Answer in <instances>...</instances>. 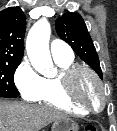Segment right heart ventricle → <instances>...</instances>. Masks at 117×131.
Listing matches in <instances>:
<instances>
[{
	"mask_svg": "<svg viewBox=\"0 0 117 131\" xmlns=\"http://www.w3.org/2000/svg\"><path fill=\"white\" fill-rule=\"evenodd\" d=\"M59 72L54 77L43 78L41 92L36 99L37 102L55 107L73 115L84 116L89 112L73 103L66 95L63 85V76L69 69L75 67L74 58L54 60Z\"/></svg>",
	"mask_w": 117,
	"mask_h": 131,
	"instance_id": "e07e8e85",
	"label": "right heart ventricle"
}]
</instances>
